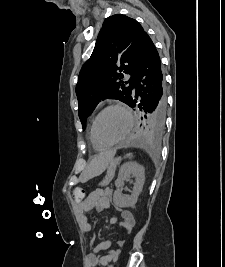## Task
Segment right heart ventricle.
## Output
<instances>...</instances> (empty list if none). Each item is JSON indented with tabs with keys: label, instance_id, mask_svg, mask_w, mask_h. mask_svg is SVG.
Instances as JSON below:
<instances>
[{
	"label": "right heart ventricle",
	"instance_id": "e07e8e85",
	"mask_svg": "<svg viewBox=\"0 0 225 267\" xmlns=\"http://www.w3.org/2000/svg\"><path fill=\"white\" fill-rule=\"evenodd\" d=\"M95 116L92 118L91 122H90V125H89V129H88V137H89V140H90V143L92 145V147L96 150H103L105 148H108V147H105L99 143H97L94 138H93V134H92V125H93V120H94Z\"/></svg>",
	"mask_w": 225,
	"mask_h": 267
}]
</instances>
